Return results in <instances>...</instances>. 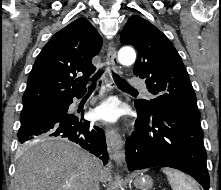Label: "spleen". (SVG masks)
I'll return each instance as SVG.
<instances>
[{"label": "spleen", "mask_w": 221, "mask_h": 190, "mask_svg": "<svg viewBox=\"0 0 221 190\" xmlns=\"http://www.w3.org/2000/svg\"><path fill=\"white\" fill-rule=\"evenodd\" d=\"M161 171L166 174L173 190H200L199 186L193 179L179 170L164 167Z\"/></svg>", "instance_id": "1"}]
</instances>
